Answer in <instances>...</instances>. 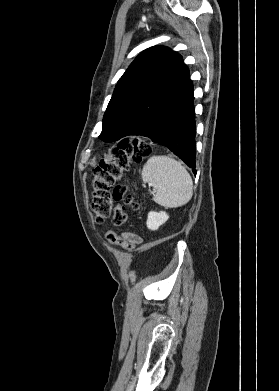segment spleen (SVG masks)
I'll use <instances>...</instances> for the list:
<instances>
[{
    "instance_id": "spleen-1",
    "label": "spleen",
    "mask_w": 279,
    "mask_h": 391,
    "mask_svg": "<svg viewBox=\"0 0 279 391\" xmlns=\"http://www.w3.org/2000/svg\"><path fill=\"white\" fill-rule=\"evenodd\" d=\"M142 180L153 186V200L166 208L185 205L193 195V181L181 162L165 155L150 157L142 169Z\"/></svg>"
}]
</instances>
